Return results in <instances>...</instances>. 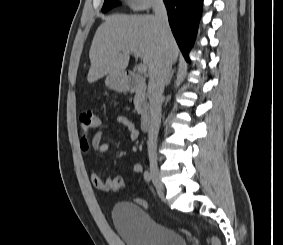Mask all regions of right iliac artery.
Here are the masks:
<instances>
[{"label": "right iliac artery", "mask_w": 283, "mask_h": 245, "mask_svg": "<svg viewBox=\"0 0 283 245\" xmlns=\"http://www.w3.org/2000/svg\"><path fill=\"white\" fill-rule=\"evenodd\" d=\"M144 179H145V181L146 182H148V183H150L151 182V174H150V172L149 171H145L144 172Z\"/></svg>", "instance_id": "right-iliac-artery-1"}]
</instances>
